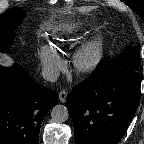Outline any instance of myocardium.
Instances as JSON below:
<instances>
[{
	"mask_svg": "<svg viewBox=\"0 0 144 144\" xmlns=\"http://www.w3.org/2000/svg\"><path fill=\"white\" fill-rule=\"evenodd\" d=\"M105 52L102 36L97 35L83 43L74 53L72 65L79 75L93 73L100 65Z\"/></svg>",
	"mask_w": 144,
	"mask_h": 144,
	"instance_id": "myocardium-1",
	"label": "myocardium"
}]
</instances>
